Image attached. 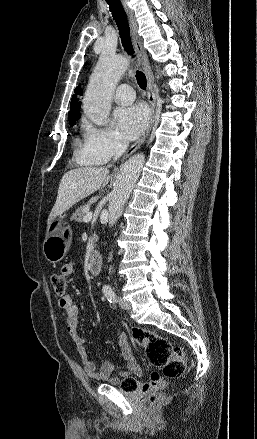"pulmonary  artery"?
Returning a JSON list of instances; mask_svg holds the SVG:
<instances>
[{"mask_svg":"<svg viewBox=\"0 0 257 439\" xmlns=\"http://www.w3.org/2000/svg\"><path fill=\"white\" fill-rule=\"evenodd\" d=\"M114 99L121 105L131 103L135 99L132 87L127 84L120 85L115 91Z\"/></svg>","mask_w":257,"mask_h":439,"instance_id":"e3ab8cb5","label":"pulmonary artery"}]
</instances>
